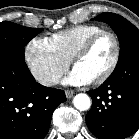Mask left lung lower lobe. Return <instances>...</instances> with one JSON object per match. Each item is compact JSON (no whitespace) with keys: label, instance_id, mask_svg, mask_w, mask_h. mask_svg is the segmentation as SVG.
I'll use <instances>...</instances> for the list:
<instances>
[{"label":"left lung lower lobe","instance_id":"obj_1","mask_svg":"<svg viewBox=\"0 0 139 139\" xmlns=\"http://www.w3.org/2000/svg\"><path fill=\"white\" fill-rule=\"evenodd\" d=\"M91 110L89 130L99 139H125L139 129V52L116 66L112 76L88 91Z\"/></svg>","mask_w":139,"mask_h":139}]
</instances>
